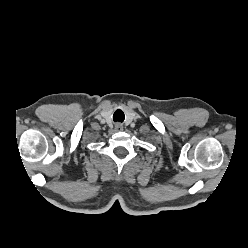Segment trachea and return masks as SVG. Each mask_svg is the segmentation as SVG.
Returning a JSON list of instances; mask_svg holds the SVG:
<instances>
[{
  "label": "trachea",
  "instance_id": "obj_1",
  "mask_svg": "<svg viewBox=\"0 0 248 248\" xmlns=\"http://www.w3.org/2000/svg\"><path fill=\"white\" fill-rule=\"evenodd\" d=\"M124 119H125V115H124L123 111L120 110V109H117V110L115 111V113L113 114V120H114L115 122H117V121H118V122H123Z\"/></svg>",
  "mask_w": 248,
  "mask_h": 248
}]
</instances>
